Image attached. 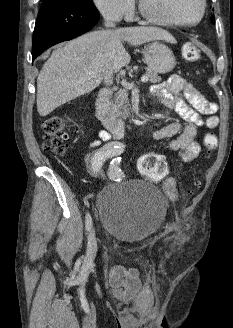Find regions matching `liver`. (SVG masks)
Wrapping results in <instances>:
<instances>
[{
    "label": "liver",
    "mask_w": 233,
    "mask_h": 328,
    "mask_svg": "<svg viewBox=\"0 0 233 328\" xmlns=\"http://www.w3.org/2000/svg\"><path fill=\"white\" fill-rule=\"evenodd\" d=\"M153 40L175 43L157 27H124L84 34L57 47L37 78V110L40 116L94 90L104 79L107 66L113 73L130 62L122 41L138 46Z\"/></svg>",
    "instance_id": "1"
}]
</instances>
